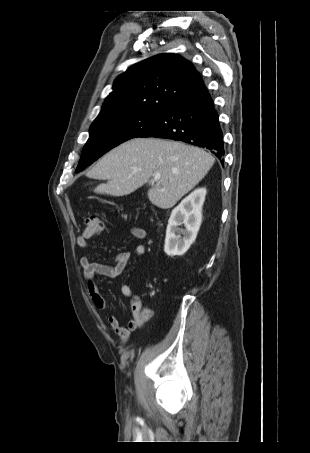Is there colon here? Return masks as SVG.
<instances>
[{
  "instance_id": "colon-1",
  "label": "colon",
  "mask_w": 310,
  "mask_h": 453,
  "mask_svg": "<svg viewBox=\"0 0 310 453\" xmlns=\"http://www.w3.org/2000/svg\"><path fill=\"white\" fill-rule=\"evenodd\" d=\"M105 228V222L100 217L92 216L86 222L84 235L86 237H92L93 235L104 231ZM143 315H147V312H143Z\"/></svg>"
}]
</instances>
